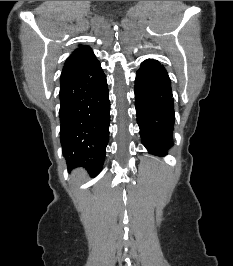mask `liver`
I'll list each match as a JSON object with an SVG mask.
<instances>
[{
    "mask_svg": "<svg viewBox=\"0 0 233 266\" xmlns=\"http://www.w3.org/2000/svg\"><path fill=\"white\" fill-rule=\"evenodd\" d=\"M76 174L79 175V176H81V175H84V172H83V170L78 169V170L76 171Z\"/></svg>",
    "mask_w": 233,
    "mask_h": 266,
    "instance_id": "6515ba94",
    "label": "liver"
}]
</instances>
